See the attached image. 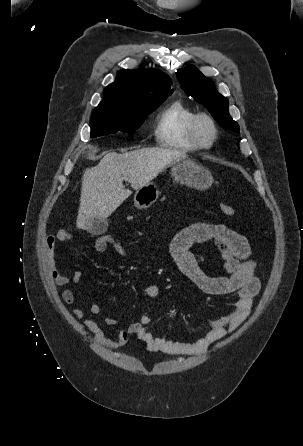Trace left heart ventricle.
Masks as SVG:
<instances>
[{
	"label": "left heart ventricle",
	"instance_id": "b2bd125f",
	"mask_svg": "<svg viewBox=\"0 0 303 446\" xmlns=\"http://www.w3.org/2000/svg\"><path fill=\"white\" fill-rule=\"evenodd\" d=\"M199 135L204 142H209L212 137L210 126L206 122H201L199 125Z\"/></svg>",
	"mask_w": 303,
	"mask_h": 446
}]
</instances>
